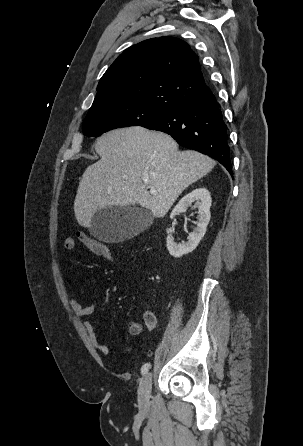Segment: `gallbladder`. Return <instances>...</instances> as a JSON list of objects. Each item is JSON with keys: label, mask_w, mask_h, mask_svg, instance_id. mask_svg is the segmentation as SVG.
<instances>
[{"label": "gallbladder", "mask_w": 303, "mask_h": 446, "mask_svg": "<svg viewBox=\"0 0 303 446\" xmlns=\"http://www.w3.org/2000/svg\"><path fill=\"white\" fill-rule=\"evenodd\" d=\"M152 221L145 210L111 206L98 210L91 219L90 234L105 242H120L144 231Z\"/></svg>", "instance_id": "bac80fb5"}]
</instances>
